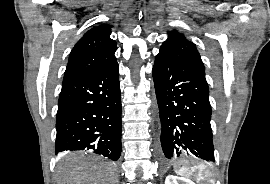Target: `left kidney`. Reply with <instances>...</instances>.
Masks as SVG:
<instances>
[{
	"label": "left kidney",
	"instance_id": "5707ae66",
	"mask_svg": "<svg viewBox=\"0 0 270 184\" xmlns=\"http://www.w3.org/2000/svg\"><path fill=\"white\" fill-rule=\"evenodd\" d=\"M165 184H195V183L187 178L168 175L165 179Z\"/></svg>",
	"mask_w": 270,
	"mask_h": 184
}]
</instances>
